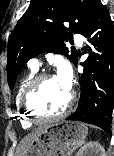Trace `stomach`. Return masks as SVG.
<instances>
[{"mask_svg": "<svg viewBox=\"0 0 114 156\" xmlns=\"http://www.w3.org/2000/svg\"><path fill=\"white\" fill-rule=\"evenodd\" d=\"M88 130L79 122L48 125L30 144L25 156H70L84 144Z\"/></svg>", "mask_w": 114, "mask_h": 156, "instance_id": "0dacf381", "label": "stomach"}]
</instances>
